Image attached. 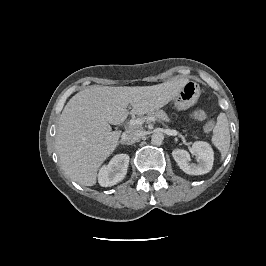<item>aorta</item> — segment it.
Returning <instances> with one entry per match:
<instances>
[{
    "label": "aorta",
    "mask_w": 266,
    "mask_h": 266,
    "mask_svg": "<svg viewBox=\"0 0 266 266\" xmlns=\"http://www.w3.org/2000/svg\"><path fill=\"white\" fill-rule=\"evenodd\" d=\"M164 140V135L162 132H154L151 136V142L155 145H161Z\"/></svg>",
    "instance_id": "1"
}]
</instances>
